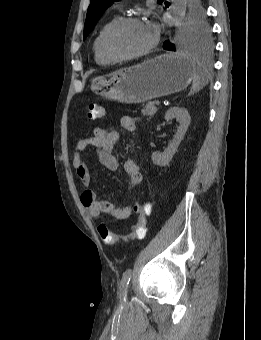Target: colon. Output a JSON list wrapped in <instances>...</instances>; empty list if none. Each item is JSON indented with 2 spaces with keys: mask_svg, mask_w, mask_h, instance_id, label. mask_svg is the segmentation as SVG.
<instances>
[{
  "mask_svg": "<svg viewBox=\"0 0 261 340\" xmlns=\"http://www.w3.org/2000/svg\"><path fill=\"white\" fill-rule=\"evenodd\" d=\"M105 115L106 110L104 107L97 104L89 105L88 116L91 119L102 118ZM134 212L137 214V219L127 234L119 235L110 231L105 224L98 225L97 230L102 241L107 245H113L120 241L143 239L146 235V216L150 212V204L148 202L136 203Z\"/></svg>",
  "mask_w": 261,
  "mask_h": 340,
  "instance_id": "5ec220e1",
  "label": "colon"
}]
</instances>
